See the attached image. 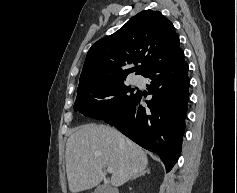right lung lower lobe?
Wrapping results in <instances>:
<instances>
[{"instance_id": "right-lung-lower-lobe-1", "label": "right lung lower lobe", "mask_w": 237, "mask_h": 193, "mask_svg": "<svg viewBox=\"0 0 237 193\" xmlns=\"http://www.w3.org/2000/svg\"><path fill=\"white\" fill-rule=\"evenodd\" d=\"M188 64L184 52L161 61L144 77L150 78L152 99L142 107V92L119 113L103 119L143 148L157 153L169 172L181 152L189 98Z\"/></svg>"}]
</instances>
